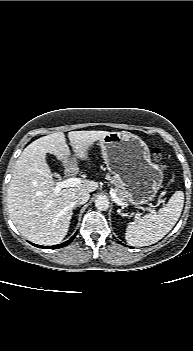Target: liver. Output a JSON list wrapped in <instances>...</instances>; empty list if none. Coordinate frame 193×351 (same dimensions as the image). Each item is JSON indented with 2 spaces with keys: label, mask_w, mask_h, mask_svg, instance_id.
<instances>
[{
  "label": "liver",
  "mask_w": 193,
  "mask_h": 351,
  "mask_svg": "<svg viewBox=\"0 0 193 351\" xmlns=\"http://www.w3.org/2000/svg\"><path fill=\"white\" fill-rule=\"evenodd\" d=\"M107 131H71L68 133L74 156L89 160L88 151ZM53 154L65 165L70 150L63 132L41 137L29 144L15 163L7 190L10 218L28 240L41 245H55L67 235L75 196L80 191L94 192L98 182L83 183L54 193L56 182L46 162Z\"/></svg>",
  "instance_id": "6515ba94"
}]
</instances>
